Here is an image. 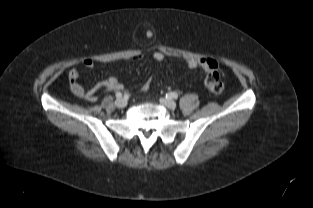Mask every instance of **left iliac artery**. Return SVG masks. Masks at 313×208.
<instances>
[{
	"instance_id": "obj_1",
	"label": "left iliac artery",
	"mask_w": 313,
	"mask_h": 208,
	"mask_svg": "<svg viewBox=\"0 0 313 208\" xmlns=\"http://www.w3.org/2000/svg\"><path fill=\"white\" fill-rule=\"evenodd\" d=\"M168 96H169L170 98H173V99H177V98H178V94L175 93V92H170V93L168 94Z\"/></svg>"
}]
</instances>
